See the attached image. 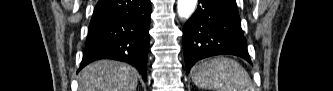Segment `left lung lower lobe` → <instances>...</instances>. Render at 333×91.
I'll return each instance as SVG.
<instances>
[{
	"mask_svg": "<svg viewBox=\"0 0 333 91\" xmlns=\"http://www.w3.org/2000/svg\"><path fill=\"white\" fill-rule=\"evenodd\" d=\"M187 72L206 57L231 54L251 63L235 0H199L183 28Z\"/></svg>",
	"mask_w": 333,
	"mask_h": 91,
	"instance_id": "left-lung-lower-lobe-1",
	"label": "left lung lower lobe"
}]
</instances>
